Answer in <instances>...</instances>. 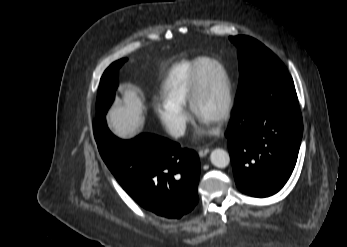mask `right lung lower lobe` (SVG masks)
Instances as JSON below:
<instances>
[{
    "instance_id": "right-lung-lower-lobe-1",
    "label": "right lung lower lobe",
    "mask_w": 347,
    "mask_h": 247,
    "mask_svg": "<svg viewBox=\"0 0 347 247\" xmlns=\"http://www.w3.org/2000/svg\"><path fill=\"white\" fill-rule=\"evenodd\" d=\"M94 136L104 162L122 188L143 208L178 219L198 203V155L154 134L132 140L114 136L104 118L94 121Z\"/></svg>"
}]
</instances>
